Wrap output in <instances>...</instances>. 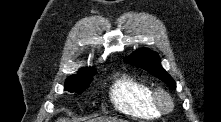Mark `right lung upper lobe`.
<instances>
[{
	"label": "right lung upper lobe",
	"mask_w": 221,
	"mask_h": 122,
	"mask_svg": "<svg viewBox=\"0 0 221 122\" xmlns=\"http://www.w3.org/2000/svg\"><path fill=\"white\" fill-rule=\"evenodd\" d=\"M94 71L95 69H92V68H82L80 71H78L76 75H73V76L84 75V74H88Z\"/></svg>",
	"instance_id": "cb5924a9"
}]
</instances>
